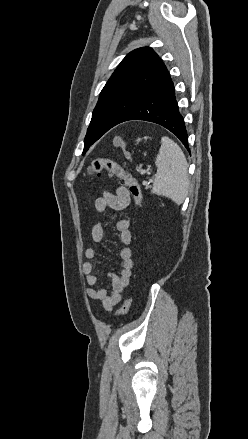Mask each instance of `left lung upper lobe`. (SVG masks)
Segmentation results:
<instances>
[{"label":"left lung upper lobe","instance_id":"left-lung-upper-lobe-1","mask_svg":"<svg viewBox=\"0 0 248 439\" xmlns=\"http://www.w3.org/2000/svg\"><path fill=\"white\" fill-rule=\"evenodd\" d=\"M166 70L150 47L133 50L121 61L102 89L84 139V151L139 102Z\"/></svg>","mask_w":248,"mask_h":439}]
</instances>
